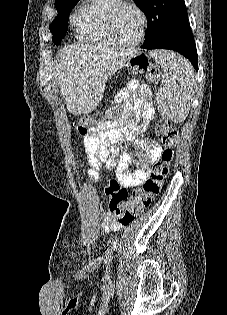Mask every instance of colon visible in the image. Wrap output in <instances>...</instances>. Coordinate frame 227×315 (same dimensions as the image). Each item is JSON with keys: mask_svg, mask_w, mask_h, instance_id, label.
Wrapping results in <instances>:
<instances>
[{"mask_svg": "<svg viewBox=\"0 0 227 315\" xmlns=\"http://www.w3.org/2000/svg\"><path fill=\"white\" fill-rule=\"evenodd\" d=\"M133 72H146L153 84H158L161 72L151 61L144 56H137L131 62ZM112 116L117 114L114 108L110 111ZM147 117H150L147 112ZM95 119L92 116H82L77 122V131L86 135L93 128ZM158 134L162 137L164 150L160 159L153 165L149 177L136 188L131 195L127 189L117 180H111L106 187L109 197L108 210L123 226L130 224L135 217L147 209L153 200L159 195L174 160V148L177 145L178 130L172 127L168 121L161 120L158 123Z\"/></svg>", "mask_w": 227, "mask_h": 315, "instance_id": "obj_1", "label": "colon"}]
</instances>
